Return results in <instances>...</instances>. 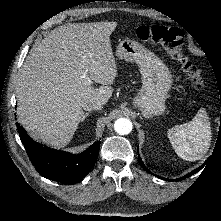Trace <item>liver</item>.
Masks as SVG:
<instances>
[{"mask_svg": "<svg viewBox=\"0 0 221 221\" xmlns=\"http://www.w3.org/2000/svg\"><path fill=\"white\" fill-rule=\"evenodd\" d=\"M116 26L68 23L32 48L20 69L16 97L18 121L35 139L65 146L84 115V104L108 102L118 74L110 41ZM92 81L102 86L94 88Z\"/></svg>", "mask_w": 221, "mask_h": 221, "instance_id": "obj_1", "label": "liver"}]
</instances>
